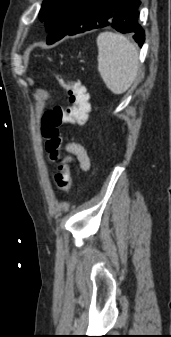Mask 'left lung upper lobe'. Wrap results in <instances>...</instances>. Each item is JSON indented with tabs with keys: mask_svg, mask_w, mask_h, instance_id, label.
Instances as JSON below:
<instances>
[{
	"mask_svg": "<svg viewBox=\"0 0 171 337\" xmlns=\"http://www.w3.org/2000/svg\"><path fill=\"white\" fill-rule=\"evenodd\" d=\"M85 0H44L39 17L46 21L49 31L47 43L65 36L75 25Z\"/></svg>",
	"mask_w": 171,
	"mask_h": 337,
	"instance_id": "5c2ea615",
	"label": "left lung upper lobe"
}]
</instances>
